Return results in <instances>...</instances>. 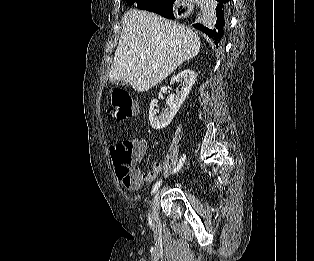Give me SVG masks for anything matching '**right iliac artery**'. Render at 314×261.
<instances>
[{"instance_id": "82829eb1", "label": "right iliac artery", "mask_w": 314, "mask_h": 261, "mask_svg": "<svg viewBox=\"0 0 314 261\" xmlns=\"http://www.w3.org/2000/svg\"><path fill=\"white\" fill-rule=\"evenodd\" d=\"M185 158H186V156H185V154H183L181 159H180V161H179V163H178V165H177V167L174 169L173 173H176V172H178L181 169V167L183 166V164L185 162ZM161 182H162V180H159V181H157L155 183V185L153 186L152 192H151L152 195H154L157 192L158 188L161 185ZM148 220H149V224L151 225L152 224V220H151L150 214L148 216Z\"/></svg>"}]
</instances>
